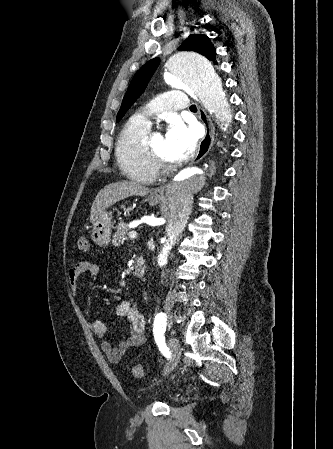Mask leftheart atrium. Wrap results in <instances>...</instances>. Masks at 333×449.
Wrapping results in <instances>:
<instances>
[{
  "label": "left heart atrium",
  "instance_id": "obj_1",
  "mask_svg": "<svg viewBox=\"0 0 333 449\" xmlns=\"http://www.w3.org/2000/svg\"><path fill=\"white\" fill-rule=\"evenodd\" d=\"M165 141L170 160L182 162L193 154L197 144V133L194 128L174 120L167 129Z\"/></svg>",
  "mask_w": 333,
  "mask_h": 449
}]
</instances>
